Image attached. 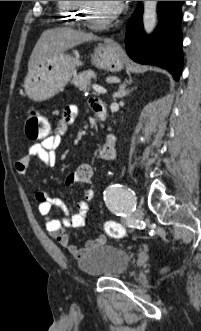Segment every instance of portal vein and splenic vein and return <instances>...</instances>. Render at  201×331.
<instances>
[{
    "label": "portal vein and splenic vein",
    "mask_w": 201,
    "mask_h": 331,
    "mask_svg": "<svg viewBox=\"0 0 201 331\" xmlns=\"http://www.w3.org/2000/svg\"><path fill=\"white\" fill-rule=\"evenodd\" d=\"M92 88H93V90H94L95 92H98V93H101V94H105V93L107 92V90H106L105 88H103V87H101V86H99V85H96V84H94V85L92 86Z\"/></svg>",
    "instance_id": "18ae733b"
}]
</instances>
